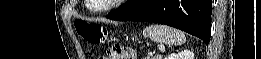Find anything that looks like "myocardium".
I'll list each match as a JSON object with an SVG mask.
<instances>
[{
  "mask_svg": "<svg viewBox=\"0 0 261 59\" xmlns=\"http://www.w3.org/2000/svg\"><path fill=\"white\" fill-rule=\"evenodd\" d=\"M121 1L122 0H110L108 4H106L102 7L96 8L95 10L99 11V12L108 11V10L112 9L117 3L121 2Z\"/></svg>",
  "mask_w": 261,
  "mask_h": 59,
  "instance_id": "f54148a6",
  "label": "myocardium"
}]
</instances>
